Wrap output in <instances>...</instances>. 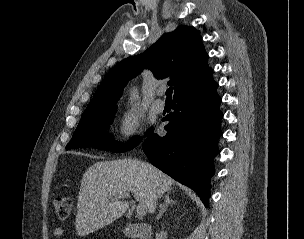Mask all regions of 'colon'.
<instances>
[{
	"label": "colon",
	"instance_id": "colon-1",
	"mask_svg": "<svg viewBox=\"0 0 304 239\" xmlns=\"http://www.w3.org/2000/svg\"><path fill=\"white\" fill-rule=\"evenodd\" d=\"M55 211L60 218H67L73 211L74 202L70 197L57 196L53 200Z\"/></svg>",
	"mask_w": 304,
	"mask_h": 239
}]
</instances>
